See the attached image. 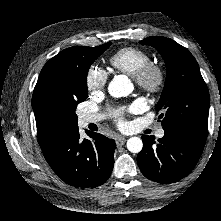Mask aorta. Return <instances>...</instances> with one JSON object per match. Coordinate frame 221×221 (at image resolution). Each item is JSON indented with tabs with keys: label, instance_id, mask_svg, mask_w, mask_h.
Instances as JSON below:
<instances>
[{
	"label": "aorta",
	"instance_id": "1",
	"mask_svg": "<svg viewBox=\"0 0 221 221\" xmlns=\"http://www.w3.org/2000/svg\"><path fill=\"white\" fill-rule=\"evenodd\" d=\"M134 87L125 75H117L109 83L108 92L113 97H123L129 95ZM143 148V142L138 137H131L127 141V149L132 153H139Z\"/></svg>",
	"mask_w": 221,
	"mask_h": 221
}]
</instances>
